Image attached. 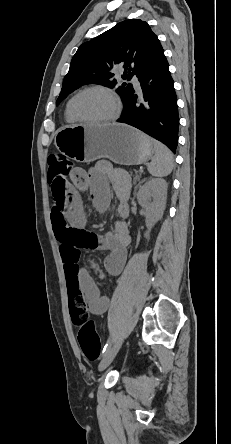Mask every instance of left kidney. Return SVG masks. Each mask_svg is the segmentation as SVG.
I'll use <instances>...</instances> for the list:
<instances>
[{"label": "left kidney", "mask_w": 231, "mask_h": 444, "mask_svg": "<svg viewBox=\"0 0 231 444\" xmlns=\"http://www.w3.org/2000/svg\"><path fill=\"white\" fill-rule=\"evenodd\" d=\"M167 187L168 185L164 179L155 178L148 180L137 193L138 203L146 211L148 231L145 233V237L149 236L152 227L163 216L167 199Z\"/></svg>", "instance_id": "1"}]
</instances>
